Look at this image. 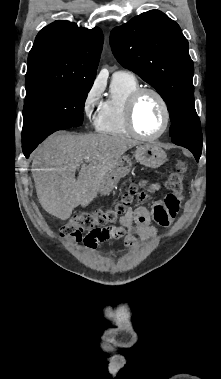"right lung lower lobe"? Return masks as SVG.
I'll return each instance as SVG.
<instances>
[{
	"label": "right lung lower lobe",
	"instance_id": "obj_1",
	"mask_svg": "<svg viewBox=\"0 0 221 379\" xmlns=\"http://www.w3.org/2000/svg\"><path fill=\"white\" fill-rule=\"evenodd\" d=\"M44 139L38 141H24L22 140V150L26 158L29 157L30 153L36 148V146L42 142Z\"/></svg>",
	"mask_w": 221,
	"mask_h": 379
}]
</instances>
